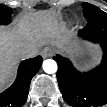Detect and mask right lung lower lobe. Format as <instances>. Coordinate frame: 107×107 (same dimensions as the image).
<instances>
[{
    "label": "right lung lower lobe",
    "mask_w": 107,
    "mask_h": 107,
    "mask_svg": "<svg viewBox=\"0 0 107 107\" xmlns=\"http://www.w3.org/2000/svg\"><path fill=\"white\" fill-rule=\"evenodd\" d=\"M42 61V57L37 56L20 63L14 84L0 94V107H19L26 102L31 79L39 71Z\"/></svg>",
    "instance_id": "98d812e1"
}]
</instances>
